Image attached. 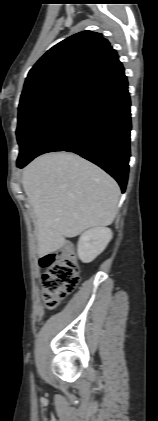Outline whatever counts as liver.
Segmentation results:
<instances>
[{
	"label": "liver",
	"instance_id": "6515ba94",
	"mask_svg": "<svg viewBox=\"0 0 158 421\" xmlns=\"http://www.w3.org/2000/svg\"><path fill=\"white\" fill-rule=\"evenodd\" d=\"M22 183L34 211L41 256L59 250L65 238L111 224L117 214V182L75 154L39 156L24 169Z\"/></svg>",
	"mask_w": 158,
	"mask_h": 421
}]
</instances>
